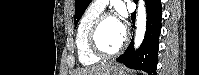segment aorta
<instances>
[{
	"label": "aorta",
	"mask_w": 199,
	"mask_h": 75,
	"mask_svg": "<svg viewBox=\"0 0 199 75\" xmlns=\"http://www.w3.org/2000/svg\"><path fill=\"white\" fill-rule=\"evenodd\" d=\"M146 8L144 0H139L138 9H137V18H136V31H135V40L134 46L138 48L143 42L145 32H146Z\"/></svg>",
	"instance_id": "obj_1"
}]
</instances>
